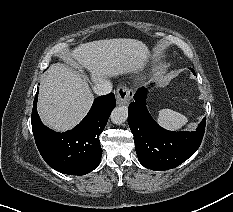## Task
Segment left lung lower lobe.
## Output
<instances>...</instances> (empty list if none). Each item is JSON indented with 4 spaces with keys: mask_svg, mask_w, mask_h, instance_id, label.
Wrapping results in <instances>:
<instances>
[{
    "mask_svg": "<svg viewBox=\"0 0 233 212\" xmlns=\"http://www.w3.org/2000/svg\"><path fill=\"white\" fill-rule=\"evenodd\" d=\"M146 92L145 88L139 89L134 95L135 101L129 105L128 123L134 135L138 159L144 167L155 171L175 168L199 148L205 131V118L193 132L165 130L149 114L145 106Z\"/></svg>",
    "mask_w": 233,
    "mask_h": 212,
    "instance_id": "left-lung-lower-lobe-1",
    "label": "left lung lower lobe"
}]
</instances>
